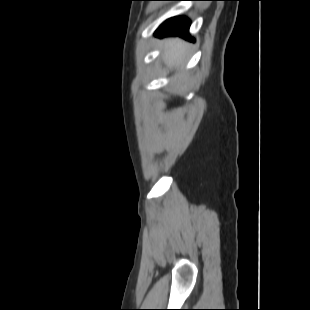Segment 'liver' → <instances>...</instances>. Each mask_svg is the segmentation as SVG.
Listing matches in <instances>:
<instances>
[{"label":"liver","instance_id":"6515ba94","mask_svg":"<svg viewBox=\"0 0 310 310\" xmlns=\"http://www.w3.org/2000/svg\"><path fill=\"white\" fill-rule=\"evenodd\" d=\"M185 50L186 44L179 42L167 50L164 53L163 58L169 65L178 64L183 59Z\"/></svg>","mask_w":310,"mask_h":310}]
</instances>
